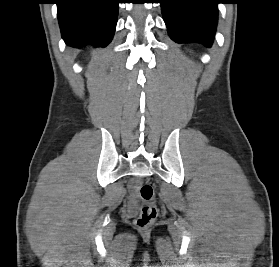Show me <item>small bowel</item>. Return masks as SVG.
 <instances>
[{
  "label": "small bowel",
  "mask_w": 279,
  "mask_h": 267,
  "mask_svg": "<svg viewBox=\"0 0 279 267\" xmlns=\"http://www.w3.org/2000/svg\"><path fill=\"white\" fill-rule=\"evenodd\" d=\"M136 189H137V182H133L132 185H131L132 193H135Z\"/></svg>",
  "instance_id": "obj_1"
}]
</instances>
